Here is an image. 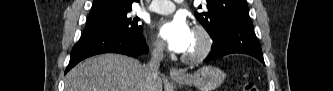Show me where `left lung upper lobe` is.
Returning <instances> with one entry per match:
<instances>
[{
	"instance_id": "left-lung-upper-lobe-1",
	"label": "left lung upper lobe",
	"mask_w": 333,
	"mask_h": 91,
	"mask_svg": "<svg viewBox=\"0 0 333 91\" xmlns=\"http://www.w3.org/2000/svg\"><path fill=\"white\" fill-rule=\"evenodd\" d=\"M207 12H195L196 19L203 25L211 38L225 26L250 20L246 0H206ZM199 8H202L199 6Z\"/></svg>"
}]
</instances>
